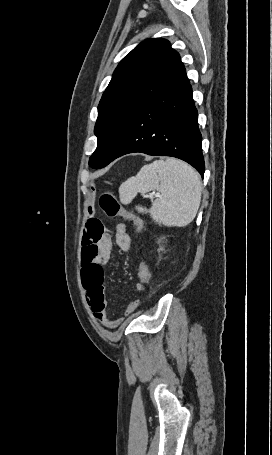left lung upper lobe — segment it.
Listing matches in <instances>:
<instances>
[{
    "mask_svg": "<svg viewBox=\"0 0 272 455\" xmlns=\"http://www.w3.org/2000/svg\"><path fill=\"white\" fill-rule=\"evenodd\" d=\"M183 70L179 54L161 38L141 42L123 58L98 105L92 168H99L131 120Z\"/></svg>",
    "mask_w": 272,
    "mask_h": 455,
    "instance_id": "5c2ea615",
    "label": "left lung upper lobe"
}]
</instances>
